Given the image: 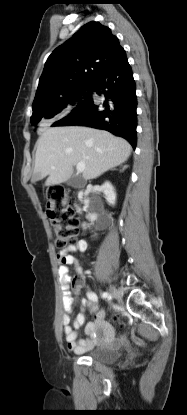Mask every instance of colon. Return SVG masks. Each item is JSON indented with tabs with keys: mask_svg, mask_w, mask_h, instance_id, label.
I'll return each instance as SVG.
<instances>
[{
	"mask_svg": "<svg viewBox=\"0 0 187 415\" xmlns=\"http://www.w3.org/2000/svg\"><path fill=\"white\" fill-rule=\"evenodd\" d=\"M48 216L56 236V244L64 248L77 237L81 221L76 215L67 190L61 185L49 189Z\"/></svg>",
	"mask_w": 187,
	"mask_h": 415,
	"instance_id": "1",
	"label": "colon"
}]
</instances>
